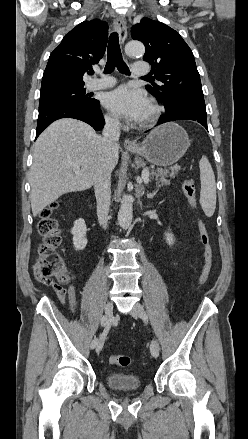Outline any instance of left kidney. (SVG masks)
Masks as SVG:
<instances>
[{
  "instance_id": "1",
  "label": "left kidney",
  "mask_w": 248,
  "mask_h": 439,
  "mask_svg": "<svg viewBox=\"0 0 248 439\" xmlns=\"http://www.w3.org/2000/svg\"><path fill=\"white\" fill-rule=\"evenodd\" d=\"M165 239H166V243L171 246L174 244L175 242V238L174 235L170 232H165Z\"/></svg>"
}]
</instances>
